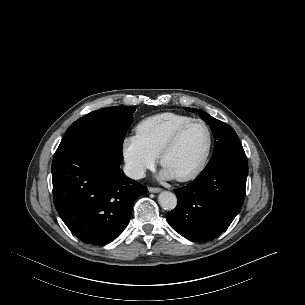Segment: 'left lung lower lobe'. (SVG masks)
Masks as SVG:
<instances>
[{"instance_id":"obj_1","label":"left lung lower lobe","mask_w":305,"mask_h":305,"mask_svg":"<svg viewBox=\"0 0 305 305\" xmlns=\"http://www.w3.org/2000/svg\"><path fill=\"white\" fill-rule=\"evenodd\" d=\"M247 175L244 151L208 163L194 181L174 190L178 204L167 214L168 223L191 241L207 242L218 237L242 207Z\"/></svg>"}]
</instances>
